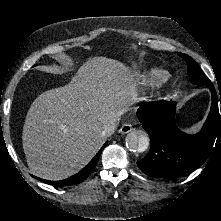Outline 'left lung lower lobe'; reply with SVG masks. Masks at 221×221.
<instances>
[{"label":"left lung lower lobe","instance_id":"obj_1","mask_svg":"<svg viewBox=\"0 0 221 221\" xmlns=\"http://www.w3.org/2000/svg\"><path fill=\"white\" fill-rule=\"evenodd\" d=\"M212 105L208 118L196 135H187L175 125V103L159 101L145 103L137 110L139 121L151 138L149 153L137 161L138 167L148 176L172 178L188 174L201 166L208 158L216 139H221V92L208 86ZM220 95V97H219Z\"/></svg>","mask_w":221,"mask_h":221}]
</instances>
